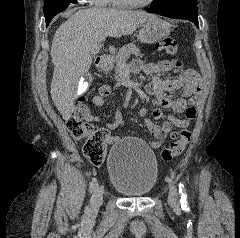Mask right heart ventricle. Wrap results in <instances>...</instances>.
I'll return each instance as SVG.
<instances>
[{"label":"right heart ventricle","instance_id":"e07e8e85","mask_svg":"<svg viewBox=\"0 0 240 238\" xmlns=\"http://www.w3.org/2000/svg\"><path fill=\"white\" fill-rule=\"evenodd\" d=\"M115 4L113 0H107L103 5Z\"/></svg>","mask_w":240,"mask_h":238}]
</instances>
